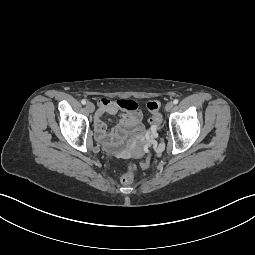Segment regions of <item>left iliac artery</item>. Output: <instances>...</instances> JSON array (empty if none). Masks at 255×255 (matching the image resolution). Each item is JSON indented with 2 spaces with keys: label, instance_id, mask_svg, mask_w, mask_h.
Segmentation results:
<instances>
[{
  "label": "left iliac artery",
  "instance_id": "obj_1",
  "mask_svg": "<svg viewBox=\"0 0 255 255\" xmlns=\"http://www.w3.org/2000/svg\"><path fill=\"white\" fill-rule=\"evenodd\" d=\"M178 102H179L178 99H174L173 104L176 105V104H178Z\"/></svg>",
  "mask_w": 255,
  "mask_h": 255
}]
</instances>
